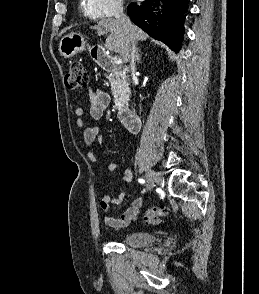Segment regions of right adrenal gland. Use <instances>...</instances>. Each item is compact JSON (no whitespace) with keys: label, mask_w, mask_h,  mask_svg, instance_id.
Wrapping results in <instances>:
<instances>
[{"label":"right adrenal gland","mask_w":259,"mask_h":294,"mask_svg":"<svg viewBox=\"0 0 259 294\" xmlns=\"http://www.w3.org/2000/svg\"><path fill=\"white\" fill-rule=\"evenodd\" d=\"M136 60H137L138 63H139L140 60H141V54H140V51H139L138 48H137V51H136Z\"/></svg>","instance_id":"1"}]
</instances>
